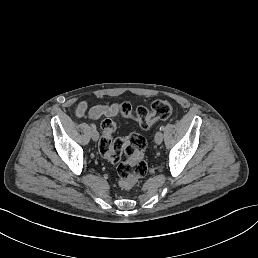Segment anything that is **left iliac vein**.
Segmentation results:
<instances>
[{
	"mask_svg": "<svg viewBox=\"0 0 258 258\" xmlns=\"http://www.w3.org/2000/svg\"><path fill=\"white\" fill-rule=\"evenodd\" d=\"M154 141L157 144H160L163 141V131L162 130L156 131V134L154 135Z\"/></svg>",
	"mask_w": 258,
	"mask_h": 258,
	"instance_id": "obj_1",
	"label": "left iliac vein"
}]
</instances>
